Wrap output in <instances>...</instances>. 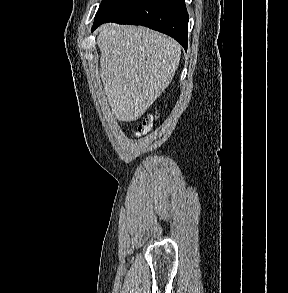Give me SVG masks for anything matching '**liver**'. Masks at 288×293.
<instances>
[{
	"label": "liver",
	"mask_w": 288,
	"mask_h": 293,
	"mask_svg": "<svg viewBox=\"0 0 288 293\" xmlns=\"http://www.w3.org/2000/svg\"><path fill=\"white\" fill-rule=\"evenodd\" d=\"M97 45L101 80L115 118L137 120L172 81L180 44L146 27L109 23L99 28Z\"/></svg>",
	"instance_id": "obj_1"
}]
</instances>
